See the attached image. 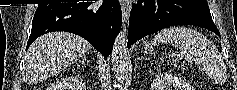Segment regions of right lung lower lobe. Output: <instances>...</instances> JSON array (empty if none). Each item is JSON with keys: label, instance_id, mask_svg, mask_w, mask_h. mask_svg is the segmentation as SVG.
<instances>
[{"label": "right lung lower lobe", "instance_id": "right-lung-lower-lobe-1", "mask_svg": "<svg viewBox=\"0 0 237 90\" xmlns=\"http://www.w3.org/2000/svg\"><path fill=\"white\" fill-rule=\"evenodd\" d=\"M91 4L93 3L39 4L26 49L45 33L66 31L83 37L107 57L121 29V7L117 0L103 1L100 7Z\"/></svg>", "mask_w": 237, "mask_h": 90}]
</instances>
